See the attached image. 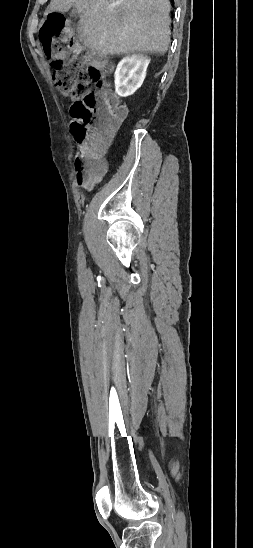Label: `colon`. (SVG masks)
<instances>
[{"label": "colon", "mask_w": 253, "mask_h": 548, "mask_svg": "<svg viewBox=\"0 0 253 548\" xmlns=\"http://www.w3.org/2000/svg\"><path fill=\"white\" fill-rule=\"evenodd\" d=\"M65 36V18L51 13L42 26L43 51L53 67L54 85L63 95L72 97L71 128L80 144L75 159L78 182H89L105 170L102 159L110 138L125 116L118 98L103 87V74L109 66L80 48ZM98 88L93 90L92 86Z\"/></svg>", "instance_id": "5ec220e1"}]
</instances>
